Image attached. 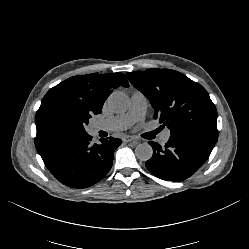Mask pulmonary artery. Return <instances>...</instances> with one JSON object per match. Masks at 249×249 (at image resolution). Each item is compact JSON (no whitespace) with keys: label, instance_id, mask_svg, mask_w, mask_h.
I'll return each instance as SVG.
<instances>
[{"label":"pulmonary artery","instance_id":"1","mask_svg":"<svg viewBox=\"0 0 249 249\" xmlns=\"http://www.w3.org/2000/svg\"><path fill=\"white\" fill-rule=\"evenodd\" d=\"M148 101L146 96L140 92L135 91L131 95V102L128 111L124 114L114 116L99 122H94L90 126V134L96 135L99 131H122L126 130L138 121L145 118ZM170 137V130H164L159 141L161 144H166Z\"/></svg>","mask_w":249,"mask_h":249}]
</instances>
